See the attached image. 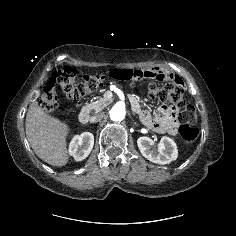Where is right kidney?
I'll return each mask as SVG.
<instances>
[{
    "label": "right kidney",
    "instance_id": "obj_1",
    "mask_svg": "<svg viewBox=\"0 0 236 236\" xmlns=\"http://www.w3.org/2000/svg\"><path fill=\"white\" fill-rule=\"evenodd\" d=\"M94 145V136L90 132H83L73 137L69 144V154L76 161L84 160L91 152Z\"/></svg>",
    "mask_w": 236,
    "mask_h": 236
}]
</instances>
